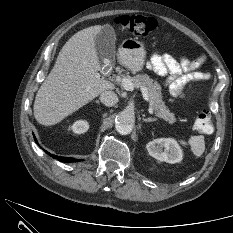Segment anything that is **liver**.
<instances>
[{
    "label": "liver",
    "instance_id": "liver-1",
    "mask_svg": "<svg viewBox=\"0 0 233 233\" xmlns=\"http://www.w3.org/2000/svg\"><path fill=\"white\" fill-rule=\"evenodd\" d=\"M101 28H85L62 47L35 98L34 117L39 124H57L102 92L114 89V84L98 73L101 66L94 39Z\"/></svg>",
    "mask_w": 233,
    "mask_h": 233
}]
</instances>
